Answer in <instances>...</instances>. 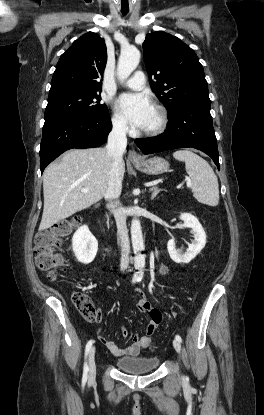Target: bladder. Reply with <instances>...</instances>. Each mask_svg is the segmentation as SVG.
Wrapping results in <instances>:
<instances>
[{
    "instance_id": "obj_1",
    "label": "bladder",
    "mask_w": 264,
    "mask_h": 415,
    "mask_svg": "<svg viewBox=\"0 0 264 415\" xmlns=\"http://www.w3.org/2000/svg\"><path fill=\"white\" fill-rule=\"evenodd\" d=\"M159 358H146V357H123L115 361V365L121 370L132 373L140 374L150 372L159 366Z\"/></svg>"
}]
</instances>
